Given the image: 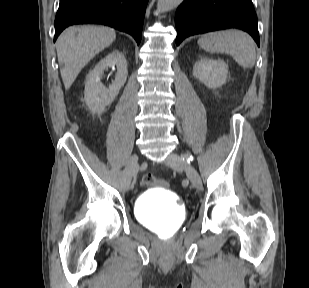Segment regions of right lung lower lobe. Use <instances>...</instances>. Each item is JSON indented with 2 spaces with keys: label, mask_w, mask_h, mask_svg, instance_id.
Returning <instances> with one entry per match:
<instances>
[{
  "label": "right lung lower lobe",
  "mask_w": 309,
  "mask_h": 288,
  "mask_svg": "<svg viewBox=\"0 0 309 288\" xmlns=\"http://www.w3.org/2000/svg\"><path fill=\"white\" fill-rule=\"evenodd\" d=\"M148 0H60L55 18V36L67 26L98 23L131 34L141 41Z\"/></svg>",
  "instance_id": "98d812e1"
}]
</instances>
